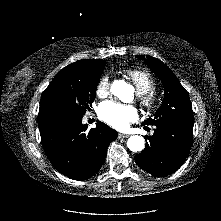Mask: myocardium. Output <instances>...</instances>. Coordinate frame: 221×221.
Listing matches in <instances>:
<instances>
[{
    "instance_id": "1",
    "label": "myocardium",
    "mask_w": 221,
    "mask_h": 221,
    "mask_svg": "<svg viewBox=\"0 0 221 221\" xmlns=\"http://www.w3.org/2000/svg\"><path fill=\"white\" fill-rule=\"evenodd\" d=\"M137 98L140 105L147 111H155L161 103V96L155 89L138 93Z\"/></svg>"
}]
</instances>
